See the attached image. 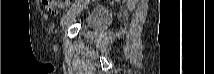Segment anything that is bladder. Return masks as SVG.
<instances>
[{
	"label": "bladder",
	"mask_w": 214,
	"mask_h": 74,
	"mask_svg": "<svg viewBox=\"0 0 214 74\" xmlns=\"http://www.w3.org/2000/svg\"><path fill=\"white\" fill-rule=\"evenodd\" d=\"M108 21V12L101 8H94L84 16L83 27L90 31H97Z\"/></svg>",
	"instance_id": "31cf9c89"
}]
</instances>
